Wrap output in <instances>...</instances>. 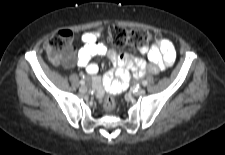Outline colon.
Masks as SVG:
<instances>
[{
	"mask_svg": "<svg viewBox=\"0 0 225 155\" xmlns=\"http://www.w3.org/2000/svg\"><path fill=\"white\" fill-rule=\"evenodd\" d=\"M113 44L119 47L132 45L142 47L152 40H159L154 34L145 29H128L120 25H110L106 31ZM73 34L70 30H59L51 35L45 42V50L53 63L72 61L73 55ZM108 109L113 108V99L106 95L103 98Z\"/></svg>",
	"mask_w": 225,
	"mask_h": 155,
	"instance_id": "1",
	"label": "colon"
}]
</instances>
